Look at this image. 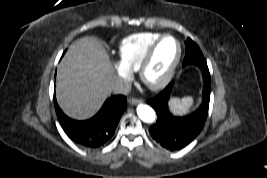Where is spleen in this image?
Wrapping results in <instances>:
<instances>
[{"label":"spleen","instance_id":"3e777b00","mask_svg":"<svg viewBox=\"0 0 267 178\" xmlns=\"http://www.w3.org/2000/svg\"><path fill=\"white\" fill-rule=\"evenodd\" d=\"M193 102V97H184L182 99L172 98L169 103L174 114L184 115L188 113L190 108L193 106Z\"/></svg>","mask_w":267,"mask_h":178}]
</instances>
